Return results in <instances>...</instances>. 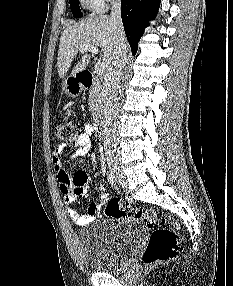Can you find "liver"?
Wrapping results in <instances>:
<instances>
[{
	"label": "liver",
	"instance_id": "obj_1",
	"mask_svg": "<svg viewBox=\"0 0 233 286\" xmlns=\"http://www.w3.org/2000/svg\"><path fill=\"white\" fill-rule=\"evenodd\" d=\"M81 46H94L101 48L102 61L106 72L110 66L115 52L114 23L106 15L91 16L67 27L60 38L57 70L59 77L64 79L71 63L80 51ZM90 54H84L71 75L83 71L90 61Z\"/></svg>",
	"mask_w": 233,
	"mask_h": 286
}]
</instances>
